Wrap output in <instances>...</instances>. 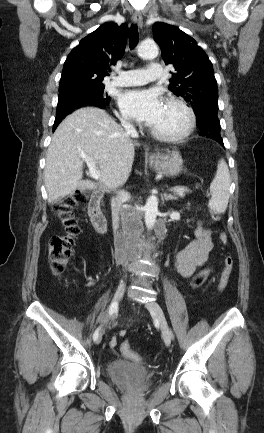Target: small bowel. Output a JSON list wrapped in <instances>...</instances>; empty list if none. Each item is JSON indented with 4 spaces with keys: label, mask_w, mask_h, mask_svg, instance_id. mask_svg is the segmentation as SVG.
Segmentation results:
<instances>
[{
    "label": "small bowel",
    "mask_w": 264,
    "mask_h": 433,
    "mask_svg": "<svg viewBox=\"0 0 264 433\" xmlns=\"http://www.w3.org/2000/svg\"><path fill=\"white\" fill-rule=\"evenodd\" d=\"M213 248L210 231L198 225L195 229V238L180 250L174 258V266L177 273L183 278L191 277L195 270L203 266L209 259L210 252ZM122 330L118 336L125 335ZM117 344V336H114L110 342V347Z\"/></svg>",
    "instance_id": "c3829d8e"
}]
</instances>
